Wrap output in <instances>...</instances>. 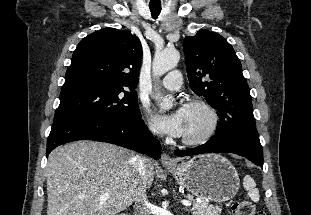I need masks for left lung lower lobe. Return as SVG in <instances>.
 Segmentation results:
<instances>
[{
    "instance_id": "obj_1",
    "label": "left lung lower lobe",
    "mask_w": 311,
    "mask_h": 215,
    "mask_svg": "<svg viewBox=\"0 0 311 215\" xmlns=\"http://www.w3.org/2000/svg\"><path fill=\"white\" fill-rule=\"evenodd\" d=\"M235 153L246 157L254 164L263 166V150L256 129L240 128L222 136H212L207 143L195 148L176 150L177 156H191L203 153Z\"/></svg>"
}]
</instances>
